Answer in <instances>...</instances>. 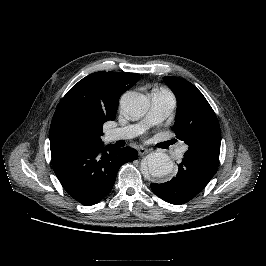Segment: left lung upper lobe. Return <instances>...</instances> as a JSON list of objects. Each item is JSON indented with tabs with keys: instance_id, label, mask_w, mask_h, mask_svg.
Listing matches in <instances>:
<instances>
[{
	"instance_id": "5c2ea615",
	"label": "left lung upper lobe",
	"mask_w": 266,
	"mask_h": 266,
	"mask_svg": "<svg viewBox=\"0 0 266 266\" xmlns=\"http://www.w3.org/2000/svg\"><path fill=\"white\" fill-rule=\"evenodd\" d=\"M164 82L178 95L174 131L188 146L184 159L216 173L221 132L218 119L203 94L189 81L165 76Z\"/></svg>"
}]
</instances>
